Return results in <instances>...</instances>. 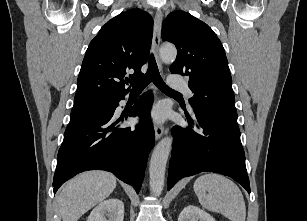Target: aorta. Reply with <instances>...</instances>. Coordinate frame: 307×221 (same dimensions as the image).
<instances>
[{
  "instance_id": "obj_1",
  "label": "aorta",
  "mask_w": 307,
  "mask_h": 221,
  "mask_svg": "<svg viewBox=\"0 0 307 221\" xmlns=\"http://www.w3.org/2000/svg\"><path fill=\"white\" fill-rule=\"evenodd\" d=\"M176 56L177 50L173 45L161 47L160 57L162 61L173 62ZM172 142V137H164L154 148L150 159V190L156 196H159L164 188L166 164L172 148Z\"/></svg>"
}]
</instances>
